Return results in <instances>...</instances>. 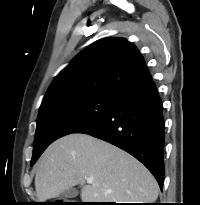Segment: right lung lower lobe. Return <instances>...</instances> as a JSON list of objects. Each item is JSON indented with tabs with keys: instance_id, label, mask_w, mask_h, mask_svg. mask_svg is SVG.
<instances>
[{
	"instance_id": "obj_1",
	"label": "right lung lower lobe",
	"mask_w": 200,
	"mask_h": 205,
	"mask_svg": "<svg viewBox=\"0 0 200 205\" xmlns=\"http://www.w3.org/2000/svg\"><path fill=\"white\" fill-rule=\"evenodd\" d=\"M163 106L150 75L130 86L99 118L74 133H84L109 142L137 158L164 183Z\"/></svg>"
}]
</instances>
